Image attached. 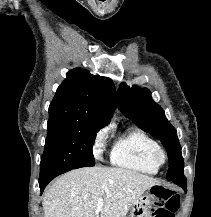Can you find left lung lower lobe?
<instances>
[{
  "label": "left lung lower lobe",
  "instance_id": "1",
  "mask_svg": "<svg viewBox=\"0 0 211 217\" xmlns=\"http://www.w3.org/2000/svg\"><path fill=\"white\" fill-rule=\"evenodd\" d=\"M177 185H179L180 187H182L184 189L185 193L187 192L186 184H184V183H178Z\"/></svg>",
  "mask_w": 211,
  "mask_h": 217
}]
</instances>
